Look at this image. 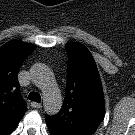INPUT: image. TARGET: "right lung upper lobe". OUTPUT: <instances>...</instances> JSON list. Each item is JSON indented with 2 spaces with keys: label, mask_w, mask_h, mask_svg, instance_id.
Returning a JSON list of instances; mask_svg holds the SVG:
<instances>
[{
  "label": "right lung upper lobe",
  "mask_w": 135,
  "mask_h": 135,
  "mask_svg": "<svg viewBox=\"0 0 135 135\" xmlns=\"http://www.w3.org/2000/svg\"><path fill=\"white\" fill-rule=\"evenodd\" d=\"M35 46L22 41H9L0 47V135L10 134L24 116V103L18 82V71Z\"/></svg>",
  "instance_id": "1"
}]
</instances>
